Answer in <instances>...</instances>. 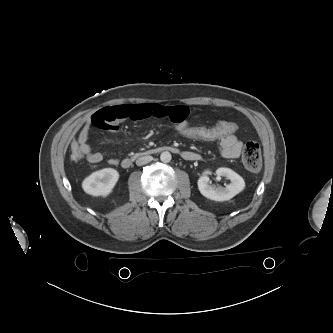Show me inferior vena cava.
Instances as JSON below:
<instances>
[{
  "instance_id": "inferior-vena-cava-1",
  "label": "inferior vena cava",
  "mask_w": 333,
  "mask_h": 333,
  "mask_svg": "<svg viewBox=\"0 0 333 333\" xmlns=\"http://www.w3.org/2000/svg\"><path fill=\"white\" fill-rule=\"evenodd\" d=\"M150 161H152V156L139 157L136 160V165L137 166H142V165H145V164L149 163Z\"/></svg>"
}]
</instances>
